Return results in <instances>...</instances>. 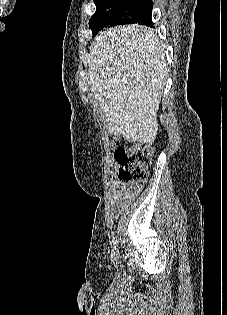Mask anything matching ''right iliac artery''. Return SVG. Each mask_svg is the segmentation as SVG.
Listing matches in <instances>:
<instances>
[{
	"mask_svg": "<svg viewBox=\"0 0 227 315\" xmlns=\"http://www.w3.org/2000/svg\"><path fill=\"white\" fill-rule=\"evenodd\" d=\"M112 242H113V244H114V245H117V243H118L117 238H116V237H114V238H113V240H112Z\"/></svg>",
	"mask_w": 227,
	"mask_h": 315,
	"instance_id": "82829eb1",
	"label": "right iliac artery"
}]
</instances>
